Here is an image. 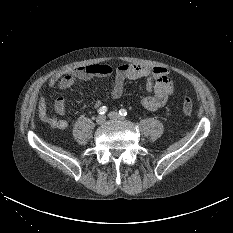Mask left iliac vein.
<instances>
[{
    "label": "left iliac vein",
    "instance_id": "obj_1",
    "mask_svg": "<svg viewBox=\"0 0 233 233\" xmlns=\"http://www.w3.org/2000/svg\"><path fill=\"white\" fill-rule=\"evenodd\" d=\"M108 117L113 120H121L122 117L119 115L118 112L112 111L108 114Z\"/></svg>",
    "mask_w": 233,
    "mask_h": 233
}]
</instances>
